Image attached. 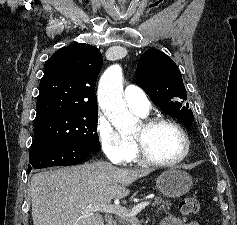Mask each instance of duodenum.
Masks as SVG:
<instances>
[{
    "label": "duodenum",
    "mask_w": 237,
    "mask_h": 225,
    "mask_svg": "<svg viewBox=\"0 0 237 225\" xmlns=\"http://www.w3.org/2000/svg\"><path fill=\"white\" fill-rule=\"evenodd\" d=\"M108 225H117V223L115 221H111V222H109Z\"/></svg>",
    "instance_id": "duodenum-1"
}]
</instances>
